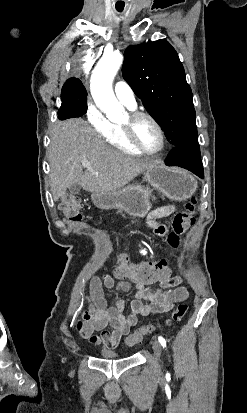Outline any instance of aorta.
<instances>
[{
	"label": "aorta",
	"mask_w": 247,
	"mask_h": 413,
	"mask_svg": "<svg viewBox=\"0 0 247 413\" xmlns=\"http://www.w3.org/2000/svg\"><path fill=\"white\" fill-rule=\"evenodd\" d=\"M122 62L123 56L119 52L105 53L91 76L92 97L109 119L119 118L123 113V106L116 99L112 89L113 79Z\"/></svg>",
	"instance_id": "obj_1"
}]
</instances>
